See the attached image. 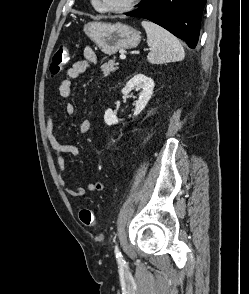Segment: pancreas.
I'll list each match as a JSON object with an SVG mask.
<instances>
[{
    "label": "pancreas",
    "mask_w": 249,
    "mask_h": 294,
    "mask_svg": "<svg viewBox=\"0 0 249 294\" xmlns=\"http://www.w3.org/2000/svg\"><path fill=\"white\" fill-rule=\"evenodd\" d=\"M117 63L114 60H109L107 63L102 65V71L105 76L110 75L112 72L118 69Z\"/></svg>",
    "instance_id": "pancreas-1"
}]
</instances>
